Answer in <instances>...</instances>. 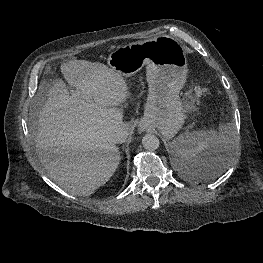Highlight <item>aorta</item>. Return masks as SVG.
Here are the masks:
<instances>
[{
	"instance_id": "obj_1",
	"label": "aorta",
	"mask_w": 263,
	"mask_h": 263,
	"mask_svg": "<svg viewBox=\"0 0 263 263\" xmlns=\"http://www.w3.org/2000/svg\"><path fill=\"white\" fill-rule=\"evenodd\" d=\"M142 145L146 150L154 151L159 148L160 142L154 134H146L142 138Z\"/></svg>"
}]
</instances>
